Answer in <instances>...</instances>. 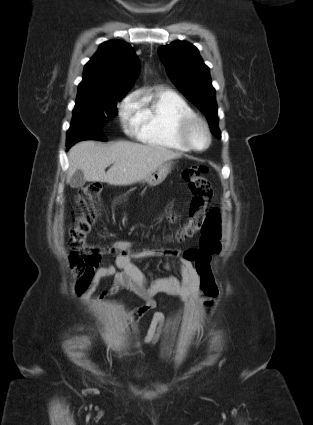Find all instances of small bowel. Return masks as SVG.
<instances>
[{"label":"small bowel","mask_w":313,"mask_h":425,"mask_svg":"<svg viewBox=\"0 0 313 425\" xmlns=\"http://www.w3.org/2000/svg\"><path fill=\"white\" fill-rule=\"evenodd\" d=\"M112 248L119 251L115 258V265L98 267L99 259L93 269L82 276L79 283V294L83 303H89L91 296L103 279L113 278V284L99 294V299L103 300L124 290L134 293L144 300V304L135 312V319L156 309V302L153 298L159 293L176 297L189 305L203 300L208 308L212 306L213 299L203 296L199 274L194 264L184 257V252L180 250L165 252L166 255L179 258L176 265L169 262L164 265L167 270H175L178 275L170 274L150 278V274L138 267L133 259L152 256L153 252L132 251L131 244L124 241L115 242ZM164 323V314L160 311L154 312L147 332L139 344H155L160 337Z\"/></svg>","instance_id":"obj_1"}]
</instances>
